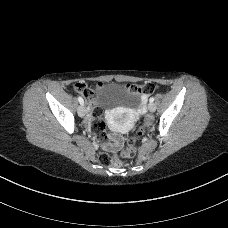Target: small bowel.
<instances>
[{"label": "small bowel", "instance_id": "obj_1", "mask_svg": "<svg viewBox=\"0 0 228 228\" xmlns=\"http://www.w3.org/2000/svg\"><path fill=\"white\" fill-rule=\"evenodd\" d=\"M90 117L88 115L87 120H86V125L89 127L90 126ZM100 140L103 142L104 147H110L112 144L115 145H120L123 142V137L118 134H109V135H103Z\"/></svg>", "mask_w": 228, "mask_h": 228}]
</instances>
